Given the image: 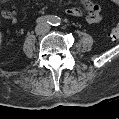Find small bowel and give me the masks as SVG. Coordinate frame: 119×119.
Instances as JSON below:
<instances>
[{"mask_svg":"<svg viewBox=\"0 0 119 119\" xmlns=\"http://www.w3.org/2000/svg\"><path fill=\"white\" fill-rule=\"evenodd\" d=\"M83 11L86 13V21L90 24L98 23L101 20L100 7L90 1H81L79 6H72L66 10L71 16H80ZM2 17L12 23L17 21L16 10H5L2 12Z\"/></svg>","mask_w":119,"mask_h":119,"instance_id":"obj_1","label":"small bowel"}]
</instances>
